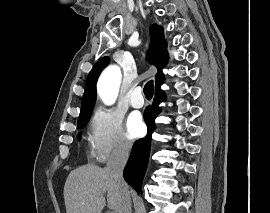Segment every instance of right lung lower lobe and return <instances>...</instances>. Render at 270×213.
I'll use <instances>...</instances> for the list:
<instances>
[{
    "label": "right lung lower lobe",
    "mask_w": 270,
    "mask_h": 213,
    "mask_svg": "<svg viewBox=\"0 0 270 213\" xmlns=\"http://www.w3.org/2000/svg\"><path fill=\"white\" fill-rule=\"evenodd\" d=\"M162 84L163 82L155 87L153 104L144 111V118L148 127L147 136L135 142L124 169V178L126 182L139 193H142V180L149 159L151 134L154 131V120L160 112L159 104L165 100V94L160 89Z\"/></svg>",
    "instance_id": "right-lung-lower-lobe-1"
}]
</instances>
